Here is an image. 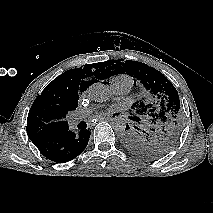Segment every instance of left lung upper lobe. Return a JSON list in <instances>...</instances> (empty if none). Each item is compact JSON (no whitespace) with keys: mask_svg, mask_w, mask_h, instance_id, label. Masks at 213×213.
<instances>
[{"mask_svg":"<svg viewBox=\"0 0 213 213\" xmlns=\"http://www.w3.org/2000/svg\"><path fill=\"white\" fill-rule=\"evenodd\" d=\"M99 69L106 78L116 74L136 78L153 97L150 103L133 104L132 109L139 117L132 119L139 124L134 128L127 124L122 136L124 146L147 159L167 154L176 145L183 128V113L173 84L155 68L138 61L109 60L100 63Z\"/></svg>","mask_w":213,"mask_h":213,"instance_id":"left-lung-upper-lobe-1","label":"left lung upper lobe"}]
</instances>
